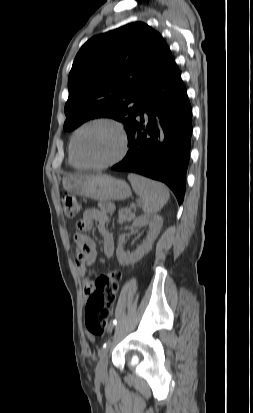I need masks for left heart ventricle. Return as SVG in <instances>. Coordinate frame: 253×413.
<instances>
[{
    "instance_id": "left-heart-ventricle-1",
    "label": "left heart ventricle",
    "mask_w": 253,
    "mask_h": 413,
    "mask_svg": "<svg viewBox=\"0 0 253 413\" xmlns=\"http://www.w3.org/2000/svg\"><path fill=\"white\" fill-rule=\"evenodd\" d=\"M119 151V138L113 128L97 124L84 129L76 139V153L88 164L113 158Z\"/></svg>"
}]
</instances>
